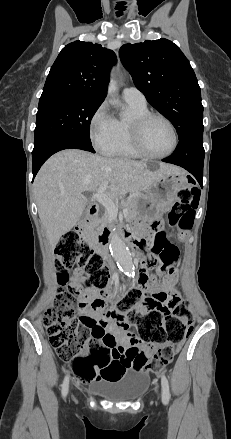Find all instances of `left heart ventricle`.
<instances>
[{
	"instance_id": "b2bd125f",
	"label": "left heart ventricle",
	"mask_w": 231,
	"mask_h": 439,
	"mask_svg": "<svg viewBox=\"0 0 231 439\" xmlns=\"http://www.w3.org/2000/svg\"><path fill=\"white\" fill-rule=\"evenodd\" d=\"M143 143L153 154H164L173 145V135L170 127L161 119L153 118L144 127Z\"/></svg>"
}]
</instances>
